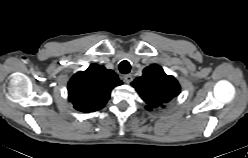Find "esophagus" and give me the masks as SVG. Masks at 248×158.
<instances>
[{
	"label": "esophagus",
	"mask_w": 248,
	"mask_h": 158,
	"mask_svg": "<svg viewBox=\"0 0 248 158\" xmlns=\"http://www.w3.org/2000/svg\"><path fill=\"white\" fill-rule=\"evenodd\" d=\"M132 80H133V76L131 74H126L123 76V81L127 84L132 82Z\"/></svg>",
	"instance_id": "esophagus-1"
}]
</instances>
